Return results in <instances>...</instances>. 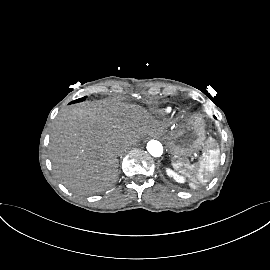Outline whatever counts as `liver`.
Listing matches in <instances>:
<instances>
[{
    "label": "liver",
    "instance_id": "1",
    "mask_svg": "<svg viewBox=\"0 0 270 270\" xmlns=\"http://www.w3.org/2000/svg\"><path fill=\"white\" fill-rule=\"evenodd\" d=\"M156 129L137 105L102 100L70 106L52 125L54 171L71 189L102 190L116 180L119 149Z\"/></svg>",
    "mask_w": 270,
    "mask_h": 270
}]
</instances>
